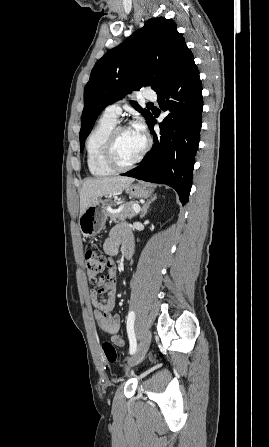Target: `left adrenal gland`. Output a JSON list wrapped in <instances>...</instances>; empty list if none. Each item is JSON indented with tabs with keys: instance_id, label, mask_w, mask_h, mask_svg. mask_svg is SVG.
<instances>
[{
	"instance_id": "a2214340",
	"label": "left adrenal gland",
	"mask_w": 269,
	"mask_h": 447,
	"mask_svg": "<svg viewBox=\"0 0 269 447\" xmlns=\"http://www.w3.org/2000/svg\"><path fill=\"white\" fill-rule=\"evenodd\" d=\"M156 198H157L156 194H153L151 200H148L147 204H144V206H142L140 218H144V216H146L147 210H148L150 204H152V202H154V200H156Z\"/></svg>"
}]
</instances>
